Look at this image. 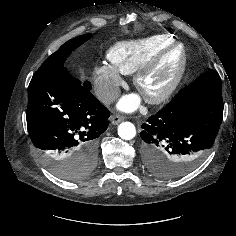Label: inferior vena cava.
<instances>
[{"label": "inferior vena cava", "instance_id": "obj_1", "mask_svg": "<svg viewBox=\"0 0 236 236\" xmlns=\"http://www.w3.org/2000/svg\"><path fill=\"white\" fill-rule=\"evenodd\" d=\"M120 96L119 88H112L99 96V99L104 104H111L113 103L118 97Z\"/></svg>", "mask_w": 236, "mask_h": 236}]
</instances>
